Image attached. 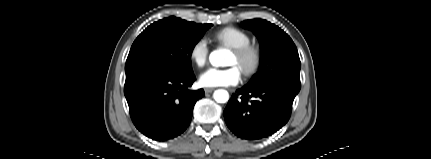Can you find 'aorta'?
Returning a JSON list of instances; mask_svg holds the SVG:
<instances>
[{"mask_svg": "<svg viewBox=\"0 0 431 159\" xmlns=\"http://www.w3.org/2000/svg\"><path fill=\"white\" fill-rule=\"evenodd\" d=\"M227 52L225 50L219 49L211 52L209 56L210 63L213 66L219 67V66H225V56ZM213 97L216 102L218 103H225L229 99V94L226 90H216L213 94Z\"/></svg>", "mask_w": 431, "mask_h": 159, "instance_id": "1", "label": "aorta"}]
</instances>
